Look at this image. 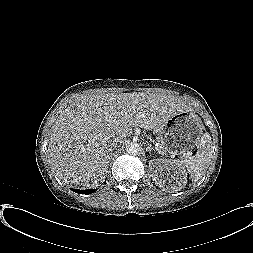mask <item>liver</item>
Segmentation results:
<instances>
[{
  "instance_id": "6515ba94",
  "label": "liver",
  "mask_w": 253,
  "mask_h": 253,
  "mask_svg": "<svg viewBox=\"0 0 253 253\" xmlns=\"http://www.w3.org/2000/svg\"><path fill=\"white\" fill-rule=\"evenodd\" d=\"M192 108L180 97L156 92L84 94L51 127L48 158L56 175L83 188L105 180L112 140L123 142L134 127L158 130L173 115Z\"/></svg>"
}]
</instances>
